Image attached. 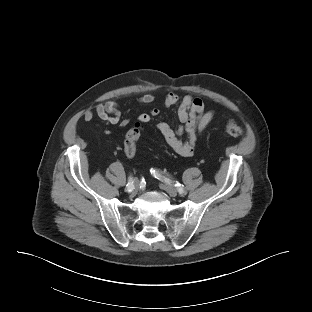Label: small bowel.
<instances>
[{"label":"small bowel","instance_id":"obj_1","mask_svg":"<svg viewBox=\"0 0 312 312\" xmlns=\"http://www.w3.org/2000/svg\"><path fill=\"white\" fill-rule=\"evenodd\" d=\"M155 100L151 93H146L139 97L141 104L148 105ZM164 105L167 108L177 106V116L180 122L176 129L171 128L167 123L160 122L157 125L158 131L165 139L168 146L178 155L189 157L197 146L198 140L213 119V112L206 110V103L202 98L186 95L183 98L174 92H169L164 98ZM96 115L103 121L125 128L129 124V119H122L121 106L117 101L109 100L99 103L95 108ZM160 114L157 107H152L147 112H143L138 116V121L148 123ZM94 112L86 110L82 117L85 121L92 120ZM185 136L186 139H180Z\"/></svg>","mask_w":312,"mask_h":312}]
</instances>
